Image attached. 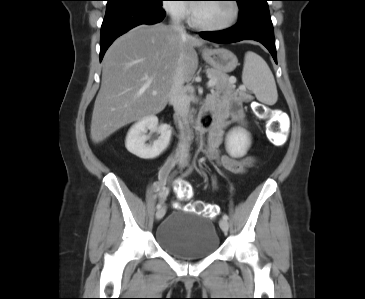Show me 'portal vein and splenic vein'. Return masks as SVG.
Wrapping results in <instances>:
<instances>
[{"label": "portal vein and splenic vein", "instance_id": "18ae733b", "mask_svg": "<svg viewBox=\"0 0 365 299\" xmlns=\"http://www.w3.org/2000/svg\"><path fill=\"white\" fill-rule=\"evenodd\" d=\"M216 85V80L214 79V78H211L209 81H208V83H207V86L209 87V88H212V87H214ZM241 89H244V87H242ZM187 90H189V91H193V88L191 87V86H188L187 87ZM152 94L153 95H156L157 94V92L156 91H153L152 92Z\"/></svg>", "mask_w": 365, "mask_h": 299}]
</instances>
